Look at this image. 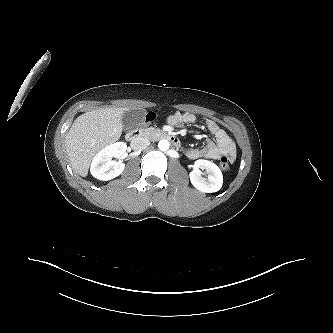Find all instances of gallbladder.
I'll use <instances>...</instances> for the list:
<instances>
[{
  "label": "gallbladder",
  "mask_w": 333,
  "mask_h": 333,
  "mask_svg": "<svg viewBox=\"0 0 333 333\" xmlns=\"http://www.w3.org/2000/svg\"><path fill=\"white\" fill-rule=\"evenodd\" d=\"M145 112L142 109L130 110L123 115L122 125L127 131L136 129L143 121Z\"/></svg>",
  "instance_id": "obj_1"
}]
</instances>
